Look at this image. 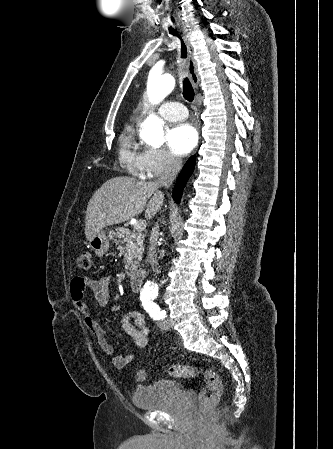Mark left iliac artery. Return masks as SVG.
I'll list each match as a JSON object with an SVG mask.
<instances>
[{"label":"left iliac artery","mask_w":333,"mask_h":449,"mask_svg":"<svg viewBox=\"0 0 333 449\" xmlns=\"http://www.w3.org/2000/svg\"><path fill=\"white\" fill-rule=\"evenodd\" d=\"M153 299V298H152ZM145 310L148 312L151 318L154 320L163 319L166 316L165 311H161L159 306L152 302L149 298L143 300Z\"/></svg>","instance_id":"1"}]
</instances>
